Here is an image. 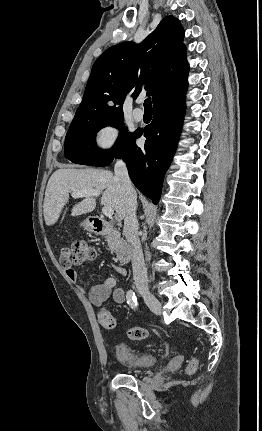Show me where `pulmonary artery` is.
I'll return each instance as SVG.
<instances>
[{"instance_id":"obj_1","label":"pulmonary artery","mask_w":262,"mask_h":431,"mask_svg":"<svg viewBox=\"0 0 262 431\" xmlns=\"http://www.w3.org/2000/svg\"><path fill=\"white\" fill-rule=\"evenodd\" d=\"M138 102H142V99H139ZM132 115L136 121H141L144 118V112L140 108H135Z\"/></svg>"}]
</instances>
